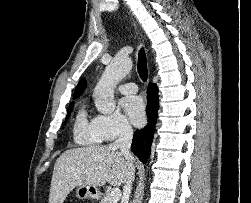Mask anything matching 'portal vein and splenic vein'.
Returning <instances> with one entry per match:
<instances>
[{"label": "portal vein and splenic vein", "instance_id": "portal-vein-and-splenic-vein-1", "mask_svg": "<svg viewBox=\"0 0 251 203\" xmlns=\"http://www.w3.org/2000/svg\"><path fill=\"white\" fill-rule=\"evenodd\" d=\"M108 196L117 203V201L121 197V191L119 188H114L112 191L108 193Z\"/></svg>", "mask_w": 251, "mask_h": 203}]
</instances>
